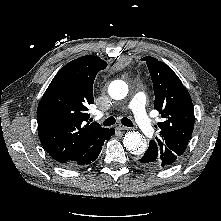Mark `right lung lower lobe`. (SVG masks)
<instances>
[{
	"instance_id": "obj_1",
	"label": "right lung lower lobe",
	"mask_w": 221,
	"mask_h": 221,
	"mask_svg": "<svg viewBox=\"0 0 221 221\" xmlns=\"http://www.w3.org/2000/svg\"><path fill=\"white\" fill-rule=\"evenodd\" d=\"M114 133L115 129L106 128L104 132H102L97 142L94 145H92L80 158H78L73 162L65 163L64 165L66 167H77V166L87 165L95 161L102 150L104 141L108 139L110 136H112Z\"/></svg>"
}]
</instances>
